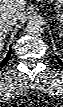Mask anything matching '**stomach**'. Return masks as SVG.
Wrapping results in <instances>:
<instances>
[{
  "label": "stomach",
  "mask_w": 63,
  "mask_h": 107,
  "mask_svg": "<svg viewBox=\"0 0 63 107\" xmlns=\"http://www.w3.org/2000/svg\"><path fill=\"white\" fill-rule=\"evenodd\" d=\"M55 5L54 17L59 21H63V0H57Z\"/></svg>",
  "instance_id": "obj_1"
}]
</instances>
